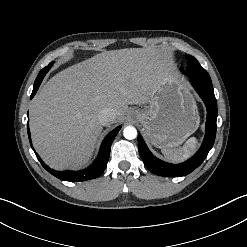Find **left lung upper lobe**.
Segmentation results:
<instances>
[{
	"label": "left lung upper lobe",
	"instance_id": "left-lung-upper-lobe-1",
	"mask_svg": "<svg viewBox=\"0 0 247 247\" xmlns=\"http://www.w3.org/2000/svg\"><path fill=\"white\" fill-rule=\"evenodd\" d=\"M188 67L186 73L188 77H195L202 80H211L207 71L199 64V62L190 55H186Z\"/></svg>",
	"mask_w": 247,
	"mask_h": 247
}]
</instances>
